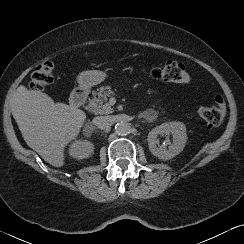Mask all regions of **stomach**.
<instances>
[{
  "instance_id": "1",
  "label": "stomach",
  "mask_w": 244,
  "mask_h": 244,
  "mask_svg": "<svg viewBox=\"0 0 244 244\" xmlns=\"http://www.w3.org/2000/svg\"><path fill=\"white\" fill-rule=\"evenodd\" d=\"M106 78V74L102 71L92 70L82 72L78 76V83L81 88H89L98 85Z\"/></svg>"
}]
</instances>
